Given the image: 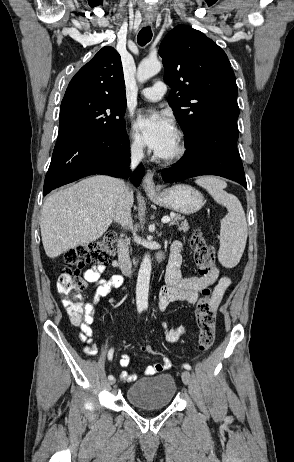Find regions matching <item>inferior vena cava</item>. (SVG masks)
Segmentation results:
<instances>
[{"mask_svg": "<svg viewBox=\"0 0 294 462\" xmlns=\"http://www.w3.org/2000/svg\"><path fill=\"white\" fill-rule=\"evenodd\" d=\"M143 148L142 142H134L131 145V164L130 168L133 170L143 159ZM133 203V192L130 190L128 185L124 184L122 193L119 196L117 205L114 210V221L120 224L122 227H128L132 223L131 217V206Z\"/></svg>", "mask_w": 294, "mask_h": 462, "instance_id": "1", "label": "inferior vena cava"}]
</instances>
